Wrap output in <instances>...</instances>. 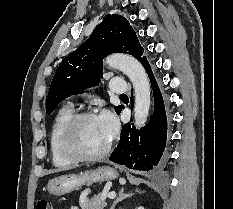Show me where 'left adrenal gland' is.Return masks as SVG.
I'll return each mask as SVG.
<instances>
[{
    "label": "left adrenal gland",
    "instance_id": "1",
    "mask_svg": "<svg viewBox=\"0 0 233 209\" xmlns=\"http://www.w3.org/2000/svg\"><path fill=\"white\" fill-rule=\"evenodd\" d=\"M133 193L130 194H125L124 193V189H121V191L119 192V197L113 202L112 206L110 207V209H114L115 206L117 205V203L121 202L122 200L132 196Z\"/></svg>",
    "mask_w": 233,
    "mask_h": 209
}]
</instances>
